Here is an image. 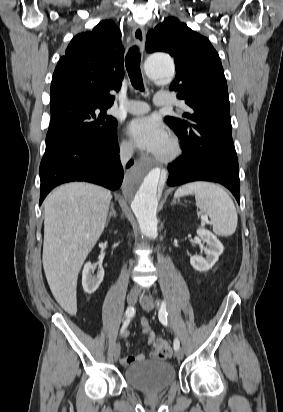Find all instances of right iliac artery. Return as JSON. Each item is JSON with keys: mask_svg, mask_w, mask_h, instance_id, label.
I'll return each instance as SVG.
<instances>
[{"mask_svg": "<svg viewBox=\"0 0 283 412\" xmlns=\"http://www.w3.org/2000/svg\"><path fill=\"white\" fill-rule=\"evenodd\" d=\"M135 307L134 306H130L127 308L126 310V320L121 328V334L124 332V330L126 329V327L128 326L130 320L133 318V316L135 315Z\"/></svg>", "mask_w": 283, "mask_h": 412, "instance_id": "82829eb1", "label": "right iliac artery"}]
</instances>
